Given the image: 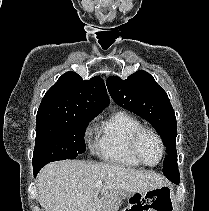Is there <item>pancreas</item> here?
Returning <instances> with one entry per match:
<instances>
[{
	"label": "pancreas",
	"mask_w": 209,
	"mask_h": 211,
	"mask_svg": "<svg viewBox=\"0 0 209 211\" xmlns=\"http://www.w3.org/2000/svg\"><path fill=\"white\" fill-rule=\"evenodd\" d=\"M100 203L104 207V211H117V208L121 204V198L118 195L108 192L101 198Z\"/></svg>",
	"instance_id": "1"
}]
</instances>
